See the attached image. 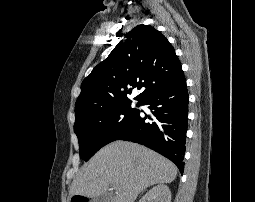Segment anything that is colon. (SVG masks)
<instances>
[{"label":"colon","mask_w":255,"mask_h":202,"mask_svg":"<svg viewBox=\"0 0 255 202\" xmlns=\"http://www.w3.org/2000/svg\"><path fill=\"white\" fill-rule=\"evenodd\" d=\"M88 200L83 197H74L71 202H87Z\"/></svg>","instance_id":"obj_1"}]
</instances>
